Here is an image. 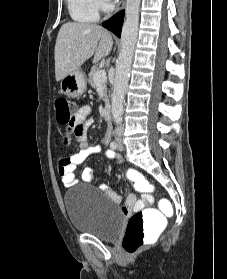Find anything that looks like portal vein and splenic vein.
<instances>
[{
    "instance_id": "1",
    "label": "portal vein and splenic vein",
    "mask_w": 227,
    "mask_h": 279,
    "mask_svg": "<svg viewBox=\"0 0 227 279\" xmlns=\"http://www.w3.org/2000/svg\"><path fill=\"white\" fill-rule=\"evenodd\" d=\"M94 80L96 82H103L106 80V72L105 70H99L96 72L95 76H94Z\"/></svg>"
}]
</instances>
